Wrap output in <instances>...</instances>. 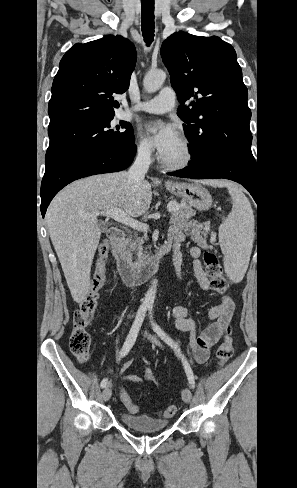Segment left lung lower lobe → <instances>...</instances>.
Instances as JSON below:
<instances>
[{
    "label": "left lung lower lobe",
    "instance_id": "0a47b994",
    "mask_svg": "<svg viewBox=\"0 0 297 488\" xmlns=\"http://www.w3.org/2000/svg\"><path fill=\"white\" fill-rule=\"evenodd\" d=\"M169 175L192 178H225L243 185L258 200V179L256 161L249 162L236 156L215 154L197 162H189L183 170L170 172Z\"/></svg>",
    "mask_w": 297,
    "mask_h": 488
}]
</instances>
